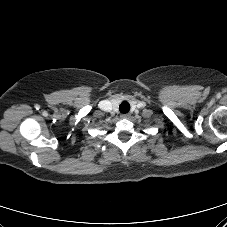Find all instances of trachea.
<instances>
[{
  "instance_id": "3493384b",
  "label": "trachea",
  "mask_w": 227,
  "mask_h": 227,
  "mask_svg": "<svg viewBox=\"0 0 227 227\" xmlns=\"http://www.w3.org/2000/svg\"><path fill=\"white\" fill-rule=\"evenodd\" d=\"M119 110L121 113H127L130 110V104L127 101H123L120 106Z\"/></svg>"
}]
</instances>
